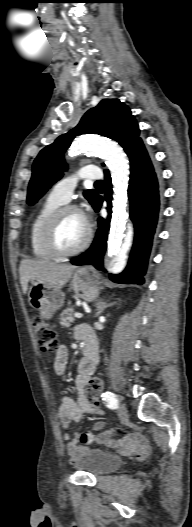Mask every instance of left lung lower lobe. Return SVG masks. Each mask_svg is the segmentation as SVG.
<instances>
[{
  "instance_id": "1",
  "label": "left lung lower lobe",
  "mask_w": 192,
  "mask_h": 527,
  "mask_svg": "<svg viewBox=\"0 0 192 527\" xmlns=\"http://www.w3.org/2000/svg\"><path fill=\"white\" fill-rule=\"evenodd\" d=\"M130 159V217L135 226V239L126 269L118 275L110 274L112 281L126 284H143L147 261L152 245L153 234L159 211V191L157 175L142 142L135 145L128 154ZM106 201L109 218L111 215L112 184L108 171H105ZM103 198L99 196L96 211H99ZM109 220L98 219L99 229L91 247L71 260L74 265L93 264L103 269V255L106 250Z\"/></svg>"
}]
</instances>
